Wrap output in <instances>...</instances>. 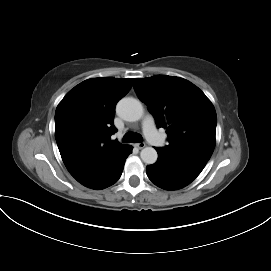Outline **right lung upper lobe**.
<instances>
[{"instance_id": "right-lung-upper-lobe-1", "label": "right lung upper lobe", "mask_w": 271, "mask_h": 271, "mask_svg": "<svg viewBox=\"0 0 271 271\" xmlns=\"http://www.w3.org/2000/svg\"><path fill=\"white\" fill-rule=\"evenodd\" d=\"M133 79L92 78L70 90L55 113V138L70 174L86 184L102 174L128 145L111 140L116 103Z\"/></svg>"}]
</instances>
